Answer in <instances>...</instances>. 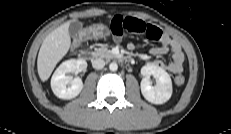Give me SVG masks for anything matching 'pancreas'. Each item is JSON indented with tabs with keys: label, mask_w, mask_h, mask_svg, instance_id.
I'll return each mask as SVG.
<instances>
[{
	"label": "pancreas",
	"mask_w": 231,
	"mask_h": 134,
	"mask_svg": "<svg viewBox=\"0 0 231 134\" xmlns=\"http://www.w3.org/2000/svg\"><path fill=\"white\" fill-rule=\"evenodd\" d=\"M93 54L96 57H102L106 59H112L116 57L107 47L103 45L97 48Z\"/></svg>",
	"instance_id": "obj_1"
}]
</instances>
